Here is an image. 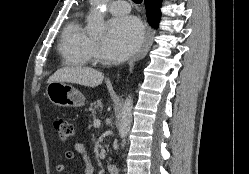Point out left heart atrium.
<instances>
[{
  "label": "left heart atrium",
  "mask_w": 249,
  "mask_h": 174,
  "mask_svg": "<svg viewBox=\"0 0 249 174\" xmlns=\"http://www.w3.org/2000/svg\"><path fill=\"white\" fill-rule=\"evenodd\" d=\"M143 39V26L132 16L111 20L109 34L102 45L103 57L112 62H120L132 55Z\"/></svg>",
  "instance_id": "1"
}]
</instances>
